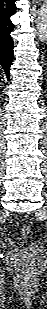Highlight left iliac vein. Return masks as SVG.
<instances>
[{"label":"left iliac vein","instance_id":"obj_1","mask_svg":"<svg viewBox=\"0 0 47 309\" xmlns=\"http://www.w3.org/2000/svg\"><path fill=\"white\" fill-rule=\"evenodd\" d=\"M40 213H41L42 215H45V210H42Z\"/></svg>","mask_w":47,"mask_h":309}]
</instances>
